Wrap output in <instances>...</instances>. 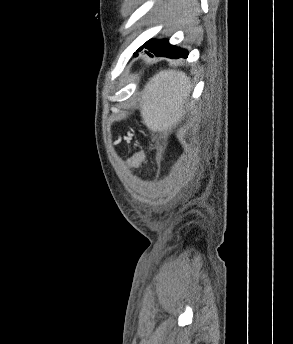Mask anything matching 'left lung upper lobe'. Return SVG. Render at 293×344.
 <instances>
[{
    "label": "left lung upper lobe",
    "instance_id": "left-lung-upper-lobe-1",
    "mask_svg": "<svg viewBox=\"0 0 293 344\" xmlns=\"http://www.w3.org/2000/svg\"><path fill=\"white\" fill-rule=\"evenodd\" d=\"M166 43H168V40H165V39L164 40H150V41L146 42L143 46H141L138 50L142 49L146 45H162V44H166Z\"/></svg>",
    "mask_w": 293,
    "mask_h": 344
}]
</instances>
